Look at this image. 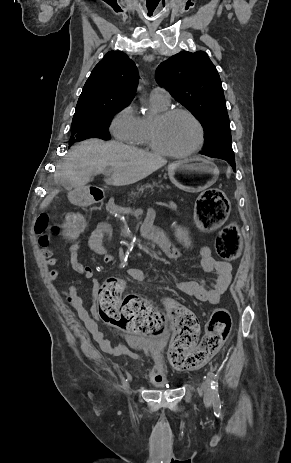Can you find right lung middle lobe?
<instances>
[{
    "mask_svg": "<svg viewBox=\"0 0 291 463\" xmlns=\"http://www.w3.org/2000/svg\"><path fill=\"white\" fill-rule=\"evenodd\" d=\"M128 104L108 101L101 104L95 111L74 115L69 147L89 138L109 140L111 137L108 129L113 116Z\"/></svg>",
    "mask_w": 291,
    "mask_h": 463,
    "instance_id": "right-lung-middle-lobe-1",
    "label": "right lung middle lobe"
}]
</instances>
